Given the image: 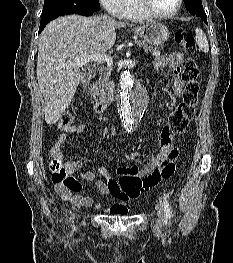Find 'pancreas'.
Returning <instances> with one entry per match:
<instances>
[{
  "label": "pancreas",
  "instance_id": "cf45deb5",
  "mask_svg": "<svg viewBox=\"0 0 233 263\" xmlns=\"http://www.w3.org/2000/svg\"><path fill=\"white\" fill-rule=\"evenodd\" d=\"M136 44L140 47H144L146 51L156 52L159 48H153L148 46L144 41L137 40ZM111 66H105L99 68V77L96 82L91 87L92 98L95 101L104 102L108 96L110 89L112 88V83L109 81V77L112 72Z\"/></svg>",
  "mask_w": 233,
  "mask_h": 263
}]
</instances>
